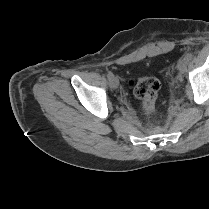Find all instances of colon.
I'll use <instances>...</instances> for the list:
<instances>
[{"mask_svg": "<svg viewBox=\"0 0 209 209\" xmlns=\"http://www.w3.org/2000/svg\"><path fill=\"white\" fill-rule=\"evenodd\" d=\"M159 89L160 83L154 77H142L133 83L134 94L141 100L146 114L155 113Z\"/></svg>", "mask_w": 209, "mask_h": 209, "instance_id": "colon-1", "label": "colon"}]
</instances>
